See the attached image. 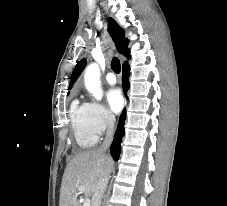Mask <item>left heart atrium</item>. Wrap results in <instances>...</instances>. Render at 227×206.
<instances>
[{"label":"left heart atrium","instance_id":"1","mask_svg":"<svg viewBox=\"0 0 227 206\" xmlns=\"http://www.w3.org/2000/svg\"><path fill=\"white\" fill-rule=\"evenodd\" d=\"M107 103L113 113H119L124 105V99L120 89L113 88L107 93Z\"/></svg>","mask_w":227,"mask_h":206}]
</instances>
